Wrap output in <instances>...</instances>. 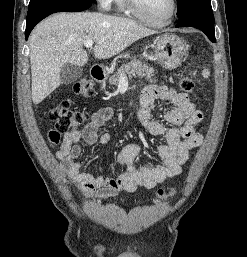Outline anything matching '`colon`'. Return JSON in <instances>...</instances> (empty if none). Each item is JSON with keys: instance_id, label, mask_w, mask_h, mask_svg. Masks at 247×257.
Listing matches in <instances>:
<instances>
[{"instance_id": "5ec220e1", "label": "colon", "mask_w": 247, "mask_h": 257, "mask_svg": "<svg viewBox=\"0 0 247 257\" xmlns=\"http://www.w3.org/2000/svg\"><path fill=\"white\" fill-rule=\"evenodd\" d=\"M180 89L186 93L194 90V82L189 73L184 72L180 80ZM73 92L83 98H90L94 95L93 83L88 79H81L74 83ZM50 118L55 123L56 128L48 132V140L52 145H57L60 141V131L78 130L89 119V114L84 111H75L70 108L67 99L58 101L50 111ZM158 198L164 199L175 195V190H159Z\"/></svg>"}]
</instances>
